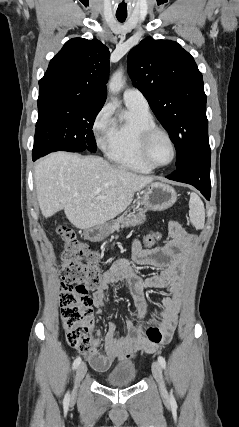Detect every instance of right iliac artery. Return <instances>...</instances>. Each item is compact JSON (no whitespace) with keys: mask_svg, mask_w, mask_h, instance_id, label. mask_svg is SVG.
<instances>
[{"mask_svg":"<svg viewBox=\"0 0 239 427\" xmlns=\"http://www.w3.org/2000/svg\"><path fill=\"white\" fill-rule=\"evenodd\" d=\"M80 363H81V358L77 357L74 360V362H73V369H76L79 366ZM69 401H70V395H69V392H67L66 395H65V397H64V402H63L64 405L68 406L69 405Z\"/></svg>","mask_w":239,"mask_h":427,"instance_id":"obj_1","label":"right iliac artery"}]
</instances>
